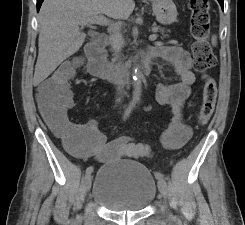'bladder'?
<instances>
[{
    "label": "bladder",
    "mask_w": 245,
    "mask_h": 225,
    "mask_svg": "<svg viewBox=\"0 0 245 225\" xmlns=\"http://www.w3.org/2000/svg\"><path fill=\"white\" fill-rule=\"evenodd\" d=\"M156 193L157 182L148 167L122 159L99 168L92 199L111 212H139L152 203Z\"/></svg>",
    "instance_id": "1"
}]
</instances>
